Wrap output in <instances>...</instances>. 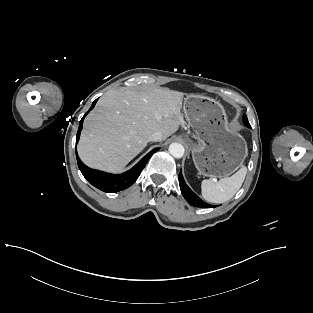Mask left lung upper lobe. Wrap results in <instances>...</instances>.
Listing matches in <instances>:
<instances>
[{
	"instance_id": "left-lung-upper-lobe-1",
	"label": "left lung upper lobe",
	"mask_w": 313,
	"mask_h": 313,
	"mask_svg": "<svg viewBox=\"0 0 313 313\" xmlns=\"http://www.w3.org/2000/svg\"><path fill=\"white\" fill-rule=\"evenodd\" d=\"M243 122H244L245 126H247L248 128H250V124H249L248 119H247V116H246L245 114L243 115Z\"/></svg>"
}]
</instances>
